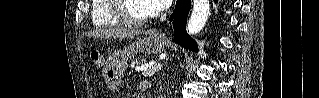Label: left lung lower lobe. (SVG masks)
<instances>
[{"mask_svg":"<svg viewBox=\"0 0 319 98\" xmlns=\"http://www.w3.org/2000/svg\"><path fill=\"white\" fill-rule=\"evenodd\" d=\"M191 8V0H177L175 10L170 16L175 29L174 41L186 49L197 51V44L186 33L187 15Z\"/></svg>","mask_w":319,"mask_h":98,"instance_id":"1","label":"left lung lower lobe"}]
</instances>
